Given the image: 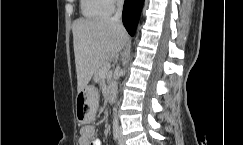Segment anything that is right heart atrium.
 <instances>
[{"instance_id": "d8ad5b80", "label": "right heart atrium", "mask_w": 243, "mask_h": 145, "mask_svg": "<svg viewBox=\"0 0 243 145\" xmlns=\"http://www.w3.org/2000/svg\"><path fill=\"white\" fill-rule=\"evenodd\" d=\"M122 0H105L106 4L112 9L116 4Z\"/></svg>"}]
</instances>
